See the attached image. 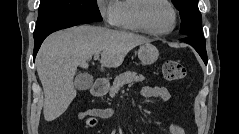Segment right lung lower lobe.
Returning a JSON list of instances; mask_svg holds the SVG:
<instances>
[{
    "label": "right lung lower lobe",
    "mask_w": 239,
    "mask_h": 134,
    "mask_svg": "<svg viewBox=\"0 0 239 134\" xmlns=\"http://www.w3.org/2000/svg\"><path fill=\"white\" fill-rule=\"evenodd\" d=\"M91 22L92 21L86 20V19H69V20H64V21H61V22L51 25L50 27L45 29L40 34L34 36L35 46H34L33 58L35 59V56H36L43 40L52 32L60 30V29H64V28H69V27L79 25V24H88Z\"/></svg>",
    "instance_id": "98d812e1"
}]
</instances>
